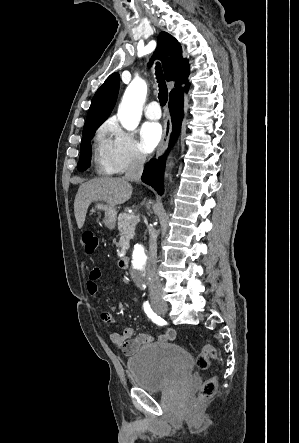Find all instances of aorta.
Listing matches in <instances>:
<instances>
[{
	"label": "aorta",
	"mask_w": 299,
	"mask_h": 443,
	"mask_svg": "<svg viewBox=\"0 0 299 443\" xmlns=\"http://www.w3.org/2000/svg\"><path fill=\"white\" fill-rule=\"evenodd\" d=\"M146 94L147 85L142 79H134L127 87L118 110V118L126 130L132 131L138 126ZM145 265L146 257L143 249L139 247L134 254L133 266L143 273Z\"/></svg>",
	"instance_id": "1"
}]
</instances>
